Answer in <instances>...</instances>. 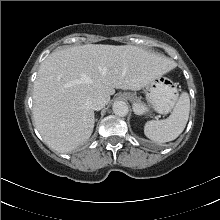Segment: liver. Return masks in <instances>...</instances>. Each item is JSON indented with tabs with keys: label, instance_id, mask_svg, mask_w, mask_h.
Here are the masks:
<instances>
[{
	"label": "liver",
	"instance_id": "liver-1",
	"mask_svg": "<svg viewBox=\"0 0 220 220\" xmlns=\"http://www.w3.org/2000/svg\"><path fill=\"white\" fill-rule=\"evenodd\" d=\"M172 60L131 45L87 44L52 52L40 65L33 89L34 123L59 152L84 144L94 128L87 103L100 93L108 103L116 89L140 90L174 68Z\"/></svg>",
	"mask_w": 220,
	"mask_h": 220
}]
</instances>
